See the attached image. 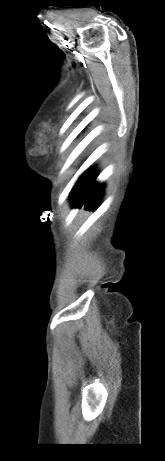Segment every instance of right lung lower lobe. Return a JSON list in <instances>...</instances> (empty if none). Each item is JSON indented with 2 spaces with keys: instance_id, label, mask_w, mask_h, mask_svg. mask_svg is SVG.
<instances>
[{
  "instance_id": "1",
  "label": "right lung lower lobe",
  "mask_w": 165,
  "mask_h": 461,
  "mask_svg": "<svg viewBox=\"0 0 165 461\" xmlns=\"http://www.w3.org/2000/svg\"><path fill=\"white\" fill-rule=\"evenodd\" d=\"M97 174L93 170H86L75 183L71 192L72 207L85 205V208L94 210L103 194L102 184L96 181Z\"/></svg>"
}]
</instances>
